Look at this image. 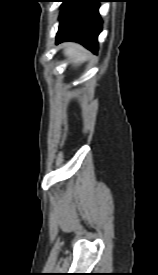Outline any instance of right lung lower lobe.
<instances>
[{"instance_id":"right-lung-lower-lobe-1","label":"right lung lower lobe","mask_w":158,"mask_h":275,"mask_svg":"<svg viewBox=\"0 0 158 275\" xmlns=\"http://www.w3.org/2000/svg\"><path fill=\"white\" fill-rule=\"evenodd\" d=\"M99 2L101 0H65L56 43L75 41L97 53L98 35L102 30Z\"/></svg>"}]
</instances>
